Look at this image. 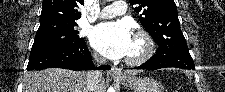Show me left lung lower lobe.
Masks as SVG:
<instances>
[{
    "mask_svg": "<svg viewBox=\"0 0 225 92\" xmlns=\"http://www.w3.org/2000/svg\"><path fill=\"white\" fill-rule=\"evenodd\" d=\"M166 67H176L181 69H194V62L189 53H178L172 55H153L144 64L134 69L156 70Z\"/></svg>",
    "mask_w": 225,
    "mask_h": 92,
    "instance_id": "left-lung-lower-lobe-1",
    "label": "left lung lower lobe"
}]
</instances>
